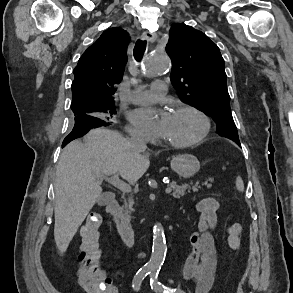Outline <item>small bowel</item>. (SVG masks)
Here are the masks:
<instances>
[{
  "instance_id": "1",
  "label": "small bowel",
  "mask_w": 293,
  "mask_h": 293,
  "mask_svg": "<svg viewBox=\"0 0 293 293\" xmlns=\"http://www.w3.org/2000/svg\"><path fill=\"white\" fill-rule=\"evenodd\" d=\"M218 208V201L213 197L203 198L196 204L200 217L196 230L190 235L192 250L183 268L184 276L196 282L195 293H208L214 282L217 265L214 231Z\"/></svg>"
}]
</instances>
